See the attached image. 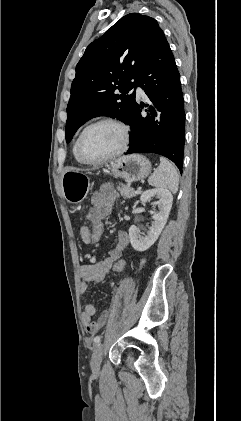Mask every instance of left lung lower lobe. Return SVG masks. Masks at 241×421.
Segmentation results:
<instances>
[{"label":"left lung lower lobe","instance_id":"0a47b994","mask_svg":"<svg viewBox=\"0 0 241 421\" xmlns=\"http://www.w3.org/2000/svg\"><path fill=\"white\" fill-rule=\"evenodd\" d=\"M136 86L151 104L136 103L130 122L131 146L125 154L157 153L172 160L182 173L185 142L184 98L174 56L161 30L143 64ZM146 107V117L141 108Z\"/></svg>","mask_w":241,"mask_h":421}]
</instances>
